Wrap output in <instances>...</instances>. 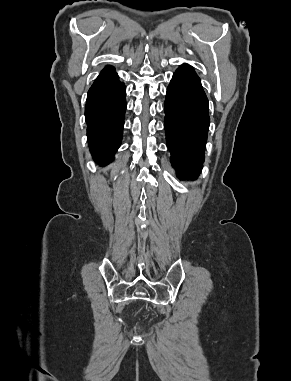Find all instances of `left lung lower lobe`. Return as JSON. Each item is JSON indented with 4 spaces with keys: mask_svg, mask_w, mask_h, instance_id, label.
I'll return each instance as SVG.
<instances>
[{
    "mask_svg": "<svg viewBox=\"0 0 291 381\" xmlns=\"http://www.w3.org/2000/svg\"><path fill=\"white\" fill-rule=\"evenodd\" d=\"M164 110L171 163L180 178L196 179L204 162L210 118L208 99L190 65L183 64L174 73Z\"/></svg>",
    "mask_w": 291,
    "mask_h": 381,
    "instance_id": "1",
    "label": "left lung lower lobe"
}]
</instances>
